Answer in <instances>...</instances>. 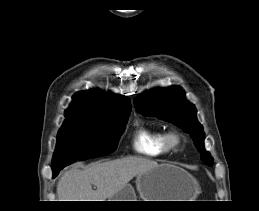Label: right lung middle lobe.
<instances>
[{"mask_svg": "<svg viewBox=\"0 0 259 211\" xmlns=\"http://www.w3.org/2000/svg\"><path fill=\"white\" fill-rule=\"evenodd\" d=\"M128 116L129 113L65 115L66 119L58 132L56 150L52 159L53 172L75 161L115 151Z\"/></svg>", "mask_w": 259, "mask_h": 211, "instance_id": "1", "label": "right lung middle lobe"}]
</instances>
